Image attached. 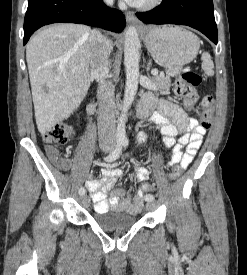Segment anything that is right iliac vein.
Returning a JSON list of instances; mask_svg holds the SVG:
<instances>
[{
  "mask_svg": "<svg viewBox=\"0 0 247 275\" xmlns=\"http://www.w3.org/2000/svg\"><path fill=\"white\" fill-rule=\"evenodd\" d=\"M104 151L108 152L109 151V148L108 147H105L104 148ZM80 200H81V203L84 207H88L89 204H90V199L86 196V195H82L80 197Z\"/></svg>",
  "mask_w": 247,
  "mask_h": 275,
  "instance_id": "1",
  "label": "right iliac vein"
}]
</instances>
